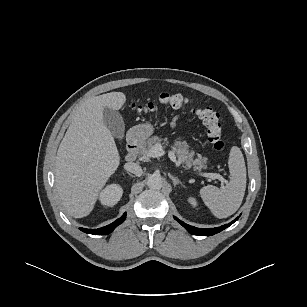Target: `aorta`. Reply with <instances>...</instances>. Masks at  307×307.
Returning <instances> with one entry per match:
<instances>
[{
  "instance_id": "aorta-1",
  "label": "aorta",
  "mask_w": 307,
  "mask_h": 307,
  "mask_svg": "<svg viewBox=\"0 0 307 307\" xmlns=\"http://www.w3.org/2000/svg\"><path fill=\"white\" fill-rule=\"evenodd\" d=\"M162 178L158 174H152L147 179V186L153 190H159L162 188Z\"/></svg>"
}]
</instances>
